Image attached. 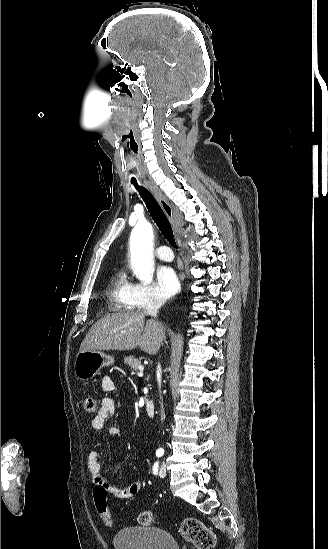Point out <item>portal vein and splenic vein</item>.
<instances>
[{"label": "portal vein and splenic vein", "mask_w": 328, "mask_h": 549, "mask_svg": "<svg viewBox=\"0 0 328 549\" xmlns=\"http://www.w3.org/2000/svg\"><path fill=\"white\" fill-rule=\"evenodd\" d=\"M138 369L139 371H144V367H142V365H139Z\"/></svg>", "instance_id": "portal-vein-and-splenic-vein-1"}]
</instances>
